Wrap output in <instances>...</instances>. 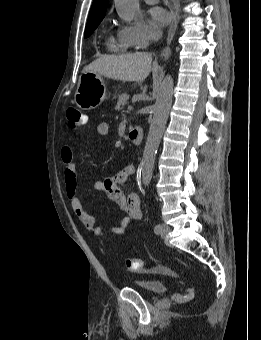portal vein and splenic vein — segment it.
<instances>
[{
    "instance_id": "18ae733b",
    "label": "portal vein and splenic vein",
    "mask_w": 261,
    "mask_h": 340,
    "mask_svg": "<svg viewBox=\"0 0 261 340\" xmlns=\"http://www.w3.org/2000/svg\"><path fill=\"white\" fill-rule=\"evenodd\" d=\"M133 109V107L130 105V106H128V110H132Z\"/></svg>"
}]
</instances>
